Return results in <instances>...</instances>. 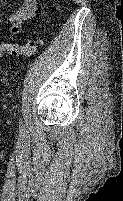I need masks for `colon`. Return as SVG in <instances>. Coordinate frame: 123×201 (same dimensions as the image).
<instances>
[{
  "label": "colon",
  "instance_id": "obj_1",
  "mask_svg": "<svg viewBox=\"0 0 123 201\" xmlns=\"http://www.w3.org/2000/svg\"><path fill=\"white\" fill-rule=\"evenodd\" d=\"M41 45L42 41L40 39L29 40L23 45L0 42V59L4 55H10L13 57L31 56L36 53Z\"/></svg>",
  "mask_w": 123,
  "mask_h": 201
}]
</instances>
